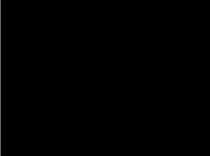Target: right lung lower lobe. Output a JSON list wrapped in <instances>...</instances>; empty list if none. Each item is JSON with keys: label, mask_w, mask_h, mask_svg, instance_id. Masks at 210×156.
<instances>
[{"label": "right lung lower lobe", "mask_w": 210, "mask_h": 156, "mask_svg": "<svg viewBox=\"0 0 210 156\" xmlns=\"http://www.w3.org/2000/svg\"><path fill=\"white\" fill-rule=\"evenodd\" d=\"M77 142V141H76ZM76 142H74V143H69V144H67V145H72V144H75Z\"/></svg>", "instance_id": "98d812e1"}]
</instances>
